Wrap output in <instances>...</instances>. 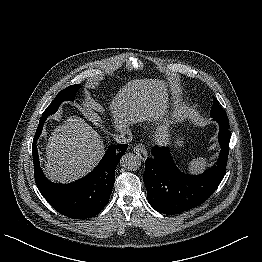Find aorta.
I'll use <instances>...</instances> for the list:
<instances>
[{
	"label": "aorta",
	"mask_w": 262,
	"mask_h": 262,
	"mask_svg": "<svg viewBox=\"0 0 262 262\" xmlns=\"http://www.w3.org/2000/svg\"><path fill=\"white\" fill-rule=\"evenodd\" d=\"M120 165L129 171H135L139 169L141 161L139 157L132 153H126L120 160Z\"/></svg>",
	"instance_id": "1"
}]
</instances>
